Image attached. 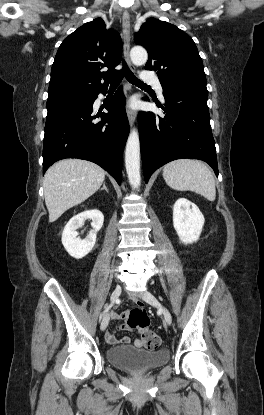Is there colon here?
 Masks as SVG:
<instances>
[{
  "instance_id": "5ec220e1",
  "label": "colon",
  "mask_w": 264,
  "mask_h": 415,
  "mask_svg": "<svg viewBox=\"0 0 264 415\" xmlns=\"http://www.w3.org/2000/svg\"><path fill=\"white\" fill-rule=\"evenodd\" d=\"M127 322L131 328L138 329L142 344L146 349H156L160 346V339L150 328L149 316L142 306L130 311Z\"/></svg>"
}]
</instances>
